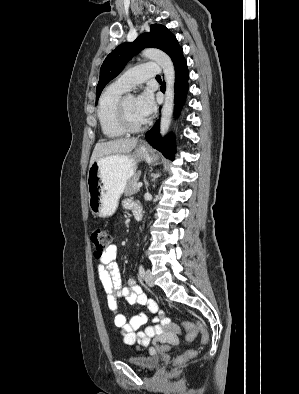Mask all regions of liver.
<instances>
[{"label": "liver", "instance_id": "6515ba94", "mask_svg": "<svg viewBox=\"0 0 299 394\" xmlns=\"http://www.w3.org/2000/svg\"><path fill=\"white\" fill-rule=\"evenodd\" d=\"M137 139L121 138L106 142H98L93 150L90 165L97 159L109 155H127L137 145Z\"/></svg>", "mask_w": 299, "mask_h": 394}]
</instances>
